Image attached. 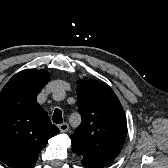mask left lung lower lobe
Here are the masks:
<instances>
[{
	"label": "left lung lower lobe",
	"mask_w": 168,
	"mask_h": 168,
	"mask_svg": "<svg viewBox=\"0 0 168 168\" xmlns=\"http://www.w3.org/2000/svg\"><path fill=\"white\" fill-rule=\"evenodd\" d=\"M83 166H85L86 168H99V167H96V166H93V165H90V164H86V163H82Z\"/></svg>",
	"instance_id": "left-lung-lower-lobe-1"
}]
</instances>
